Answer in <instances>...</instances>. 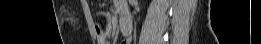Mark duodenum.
Returning a JSON list of instances; mask_svg holds the SVG:
<instances>
[{"mask_svg": "<svg viewBox=\"0 0 261 44\" xmlns=\"http://www.w3.org/2000/svg\"><path fill=\"white\" fill-rule=\"evenodd\" d=\"M119 27L124 35H130L132 29L131 18L124 11L120 12Z\"/></svg>", "mask_w": 261, "mask_h": 44, "instance_id": "410a0bca", "label": "duodenum"}]
</instances>
